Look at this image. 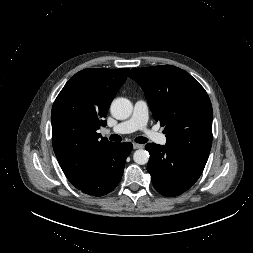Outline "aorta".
I'll return each instance as SVG.
<instances>
[{
    "instance_id": "obj_1",
    "label": "aorta",
    "mask_w": 253,
    "mask_h": 253,
    "mask_svg": "<svg viewBox=\"0 0 253 253\" xmlns=\"http://www.w3.org/2000/svg\"><path fill=\"white\" fill-rule=\"evenodd\" d=\"M132 110L133 105L126 98H117L110 106L112 116L118 120H125L129 118L132 114ZM133 160L139 165H145L148 163L149 153L143 149L136 150L133 154Z\"/></svg>"
}]
</instances>
